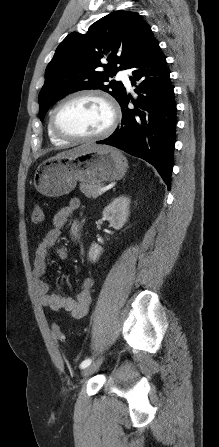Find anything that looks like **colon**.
Here are the masks:
<instances>
[{"instance_id": "5ec220e1", "label": "colon", "mask_w": 219, "mask_h": 447, "mask_svg": "<svg viewBox=\"0 0 219 447\" xmlns=\"http://www.w3.org/2000/svg\"><path fill=\"white\" fill-rule=\"evenodd\" d=\"M31 220L33 223L35 224H39L43 221V212L40 206L35 205L32 209V215H31ZM52 332L54 337L59 340V341H63L64 340V334L60 328V326L58 325H54L52 327Z\"/></svg>"}]
</instances>
